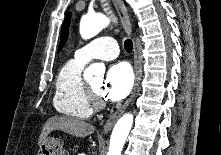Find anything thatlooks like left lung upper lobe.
<instances>
[{
    "label": "left lung upper lobe",
    "instance_id": "1",
    "mask_svg": "<svg viewBox=\"0 0 221 155\" xmlns=\"http://www.w3.org/2000/svg\"><path fill=\"white\" fill-rule=\"evenodd\" d=\"M70 13H68L66 15V18L64 20L63 26H62V30H61V40H60V44L58 47V52L61 50V48L63 47V45L65 44L66 40H67V36H68V27H69V23H70Z\"/></svg>",
    "mask_w": 221,
    "mask_h": 155
}]
</instances>
